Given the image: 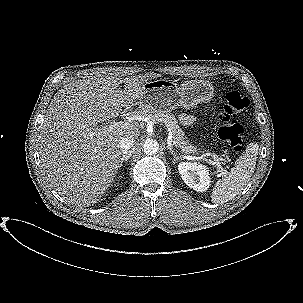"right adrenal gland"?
<instances>
[{"mask_svg": "<svg viewBox=\"0 0 303 303\" xmlns=\"http://www.w3.org/2000/svg\"><path fill=\"white\" fill-rule=\"evenodd\" d=\"M130 157H131V154H128V155H126V156H123V157L121 158V162H120V164H119V167H122L123 162H126V163H127L128 159H129Z\"/></svg>", "mask_w": 303, "mask_h": 303, "instance_id": "2a0ac1e0", "label": "right adrenal gland"}]
</instances>
